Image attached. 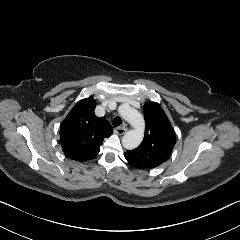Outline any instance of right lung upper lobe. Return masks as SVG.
<instances>
[{
  "label": "right lung upper lobe",
  "mask_w": 240,
  "mask_h": 240,
  "mask_svg": "<svg viewBox=\"0 0 240 240\" xmlns=\"http://www.w3.org/2000/svg\"><path fill=\"white\" fill-rule=\"evenodd\" d=\"M93 98L79 101L60 126V142L65 155L73 160L88 161L100 151V145L113 130L103 117L94 114Z\"/></svg>",
  "instance_id": "1"
}]
</instances>
